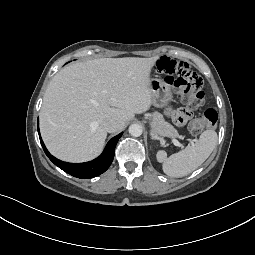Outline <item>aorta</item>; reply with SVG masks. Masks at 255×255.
I'll return each instance as SVG.
<instances>
[{"instance_id": "1", "label": "aorta", "mask_w": 255, "mask_h": 255, "mask_svg": "<svg viewBox=\"0 0 255 255\" xmlns=\"http://www.w3.org/2000/svg\"><path fill=\"white\" fill-rule=\"evenodd\" d=\"M143 129L142 126L139 124H131L129 126V133L133 137H139L142 135Z\"/></svg>"}]
</instances>
